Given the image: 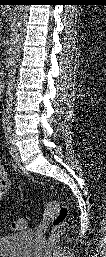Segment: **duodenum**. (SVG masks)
Instances as JSON below:
<instances>
[{"instance_id":"obj_1","label":"duodenum","mask_w":106,"mask_h":257,"mask_svg":"<svg viewBox=\"0 0 106 257\" xmlns=\"http://www.w3.org/2000/svg\"><path fill=\"white\" fill-rule=\"evenodd\" d=\"M3 90V84L0 82V92Z\"/></svg>"}]
</instances>
